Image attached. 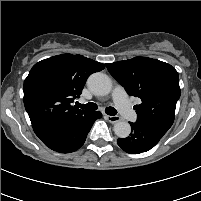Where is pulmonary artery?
<instances>
[{"label": "pulmonary artery", "instance_id": "e3ab8cb5", "mask_svg": "<svg viewBox=\"0 0 201 201\" xmlns=\"http://www.w3.org/2000/svg\"><path fill=\"white\" fill-rule=\"evenodd\" d=\"M112 97L117 109L124 119L127 121H135L137 119V114L132 108L127 93L122 86L118 85L114 88Z\"/></svg>", "mask_w": 201, "mask_h": 201}]
</instances>
